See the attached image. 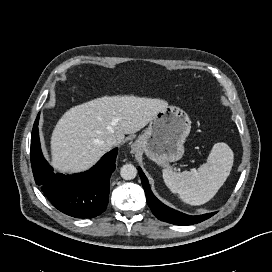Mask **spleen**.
Instances as JSON below:
<instances>
[{
    "label": "spleen",
    "mask_w": 272,
    "mask_h": 272,
    "mask_svg": "<svg viewBox=\"0 0 272 272\" xmlns=\"http://www.w3.org/2000/svg\"><path fill=\"white\" fill-rule=\"evenodd\" d=\"M233 152L226 143H216L207 163L195 171L175 172L163 169L166 186L190 205H202L212 199L226 181L233 166Z\"/></svg>",
    "instance_id": "obj_1"
}]
</instances>
